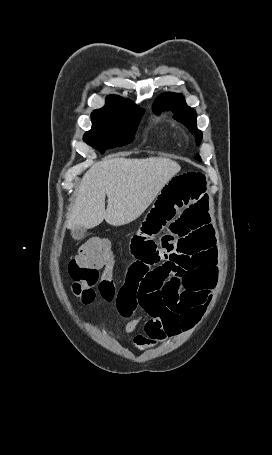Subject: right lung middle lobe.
<instances>
[{"label":"right lung middle lobe","instance_id":"dd1d6c3e","mask_svg":"<svg viewBox=\"0 0 272 455\" xmlns=\"http://www.w3.org/2000/svg\"><path fill=\"white\" fill-rule=\"evenodd\" d=\"M143 113L144 109L135 104L115 112H94L91 114L92 128L85 133L83 140L101 153L129 144Z\"/></svg>","mask_w":272,"mask_h":455}]
</instances>
